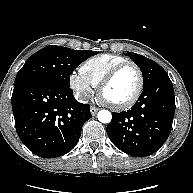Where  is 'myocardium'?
<instances>
[{
    "instance_id": "obj_1",
    "label": "myocardium",
    "mask_w": 193,
    "mask_h": 193,
    "mask_svg": "<svg viewBox=\"0 0 193 193\" xmlns=\"http://www.w3.org/2000/svg\"><path fill=\"white\" fill-rule=\"evenodd\" d=\"M127 67H133L138 74V85H137V88L134 94L128 100L120 104H113V103L106 101L103 98L104 89L107 87V85L115 78V76L120 71H122L123 69ZM143 88H144V76H143L142 70L136 63L127 61V62L117 65L104 76V78L101 80V82L98 85V96L101 99V101L104 104H106L107 106H109L111 109L116 110V111H122V110H126L132 107L137 102V100L139 99V97L142 94Z\"/></svg>"
}]
</instances>
